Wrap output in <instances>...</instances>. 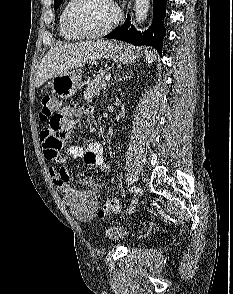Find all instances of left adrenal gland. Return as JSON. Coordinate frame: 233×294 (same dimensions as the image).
Here are the masks:
<instances>
[{"instance_id": "obj_1", "label": "left adrenal gland", "mask_w": 233, "mask_h": 294, "mask_svg": "<svg viewBox=\"0 0 233 294\" xmlns=\"http://www.w3.org/2000/svg\"><path fill=\"white\" fill-rule=\"evenodd\" d=\"M126 78H127V75L126 76H120V75L116 74L115 77H114V82L112 83V85H114V83H116L118 81H122L123 79L125 80Z\"/></svg>"}]
</instances>
